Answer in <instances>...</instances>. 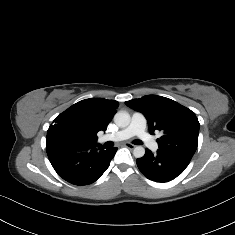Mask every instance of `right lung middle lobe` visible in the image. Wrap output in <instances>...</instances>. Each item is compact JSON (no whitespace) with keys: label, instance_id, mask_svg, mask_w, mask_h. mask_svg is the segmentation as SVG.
<instances>
[{"label":"right lung middle lobe","instance_id":"obj_1","mask_svg":"<svg viewBox=\"0 0 235 235\" xmlns=\"http://www.w3.org/2000/svg\"><path fill=\"white\" fill-rule=\"evenodd\" d=\"M65 139L68 140V141H74V137L71 133H67Z\"/></svg>","mask_w":235,"mask_h":235}]
</instances>
